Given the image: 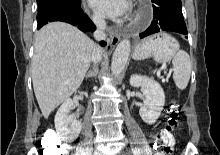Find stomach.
I'll use <instances>...</instances> for the list:
<instances>
[{
    "label": "stomach",
    "instance_id": "stomach-1",
    "mask_svg": "<svg viewBox=\"0 0 220 155\" xmlns=\"http://www.w3.org/2000/svg\"><path fill=\"white\" fill-rule=\"evenodd\" d=\"M179 50L177 40L166 32H160L143 40L135 49L134 57L144 59L153 57L156 62L170 61Z\"/></svg>",
    "mask_w": 220,
    "mask_h": 155
}]
</instances>
